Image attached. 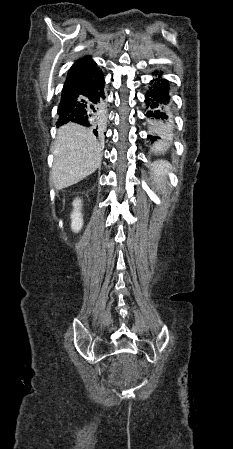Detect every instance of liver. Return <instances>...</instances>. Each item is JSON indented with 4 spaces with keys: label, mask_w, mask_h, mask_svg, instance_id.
<instances>
[{
    "label": "liver",
    "mask_w": 233,
    "mask_h": 449,
    "mask_svg": "<svg viewBox=\"0 0 233 449\" xmlns=\"http://www.w3.org/2000/svg\"><path fill=\"white\" fill-rule=\"evenodd\" d=\"M102 145L93 133L75 123L58 129L53 145L54 163L50 181L57 190L72 186L100 166Z\"/></svg>",
    "instance_id": "6515ba94"
}]
</instances>
